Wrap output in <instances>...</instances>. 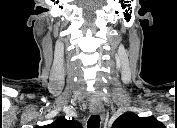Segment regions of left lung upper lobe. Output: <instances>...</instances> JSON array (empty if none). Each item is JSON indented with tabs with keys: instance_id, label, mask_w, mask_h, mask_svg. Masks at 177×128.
<instances>
[{
	"instance_id": "1",
	"label": "left lung upper lobe",
	"mask_w": 177,
	"mask_h": 128,
	"mask_svg": "<svg viewBox=\"0 0 177 128\" xmlns=\"http://www.w3.org/2000/svg\"><path fill=\"white\" fill-rule=\"evenodd\" d=\"M162 123L154 117H139L134 113H126L118 117L112 128H159Z\"/></svg>"
}]
</instances>
